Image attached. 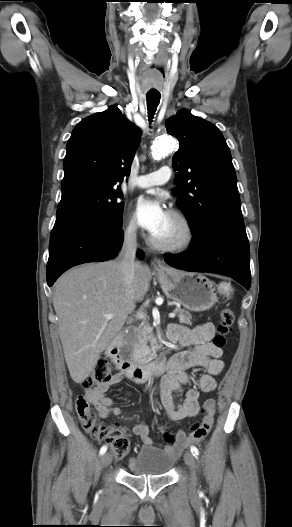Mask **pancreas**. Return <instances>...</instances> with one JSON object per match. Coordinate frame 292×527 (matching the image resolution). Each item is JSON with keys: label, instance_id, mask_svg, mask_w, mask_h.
Masks as SVG:
<instances>
[{"label": "pancreas", "instance_id": "pancreas-1", "mask_svg": "<svg viewBox=\"0 0 292 527\" xmlns=\"http://www.w3.org/2000/svg\"><path fill=\"white\" fill-rule=\"evenodd\" d=\"M174 312L177 314L180 323L191 324V314L189 311L181 308H175ZM153 328L149 325H139L133 327L128 335V341L135 349H141L150 341L153 342Z\"/></svg>", "mask_w": 292, "mask_h": 527}]
</instances>
